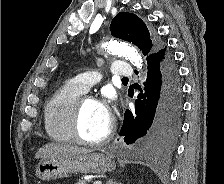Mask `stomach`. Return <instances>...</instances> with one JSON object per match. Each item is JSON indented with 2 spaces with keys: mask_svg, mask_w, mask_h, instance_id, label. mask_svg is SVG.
Instances as JSON below:
<instances>
[{
  "mask_svg": "<svg viewBox=\"0 0 224 184\" xmlns=\"http://www.w3.org/2000/svg\"><path fill=\"white\" fill-rule=\"evenodd\" d=\"M115 164L103 153H84L53 159H43L36 167V176L49 181L71 174H101L114 170Z\"/></svg>",
  "mask_w": 224,
  "mask_h": 184,
  "instance_id": "stomach-1",
  "label": "stomach"
}]
</instances>
